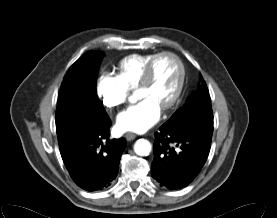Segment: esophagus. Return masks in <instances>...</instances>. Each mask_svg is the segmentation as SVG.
<instances>
[{
	"label": "esophagus",
	"mask_w": 277,
	"mask_h": 218,
	"mask_svg": "<svg viewBox=\"0 0 277 218\" xmlns=\"http://www.w3.org/2000/svg\"><path fill=\"white\" fill-rule=\"evenodd\" d=\"M125 138H126V140L131 141V140H134L136 138V135L133 134V133H126Z\"/></svg>",
	"instance_id": "1"
}]
</instances>
